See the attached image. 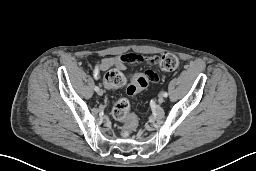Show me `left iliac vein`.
Returning <instances> with one entry per match:
<instances>
[{
    "label": "left iliac vein",
    "instance_id": "1",
    "mask_svg": "<svg viewBox=\"0 0 256 171\" xmlns=\"http://www.w3.org/2000/svg\"><path fill=\"white\" fill-rule=\"evenodd\" d=\"M163 102H164V96L161 95V96L159 97V99H158V103H159V104H162Z\"/></svg>",
    "mask_w": 256,
    "mask_h": 171
}]
</instances>
